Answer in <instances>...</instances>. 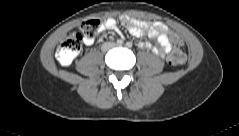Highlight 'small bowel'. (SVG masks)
I'll list each match as a JSON object with an SVG mask.
<instances>
[{
	"label": "small bowel",
	"mask_w": 239,
	"mask_h": 136,
	"mask_svg": "<svg viewBox=\"0 0 239 136\" xmlns=\"http://www.w3.org/2000/svg\"><path fill=\"white\" fill-rule=\"evenodd\" d=\"M120 20L131 35L135 37L148 35L156 40L157 46L153 47L149 43H143L142 47L152 50L162 58L170 52L169 29L163 23L135 20L125 15L121 16ZM116 28V21L114 19H108L100 26V31L116 30ZM93 43L94 39L84 38L85 45L90 46Z\"/></svg>",
	"instance_id": "small-bowel-1"
}]
</instances>
